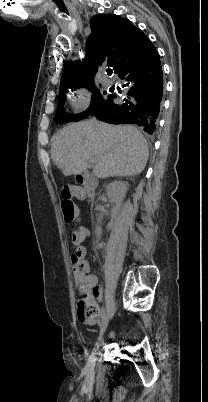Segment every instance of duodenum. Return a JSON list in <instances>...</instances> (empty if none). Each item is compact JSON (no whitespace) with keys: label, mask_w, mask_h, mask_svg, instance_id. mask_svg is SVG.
Listing matches in <instances>:
<instances>
[{"label":"duodenum","mask_w":208,"mask_h":402,"mask_svg":"<svg viewBox=\"0 0 208 402\" xmlns=\"http://www.w3.org/2000/svg\"><path fill=\"white\" fill-rule=\"evenodd\" d=\"M77 181L85 187L88 197H92L96 188L95 179L88 174H80L77 176Z\"/></svg>","instance_id":"duodenum-1"}]
</instances>
